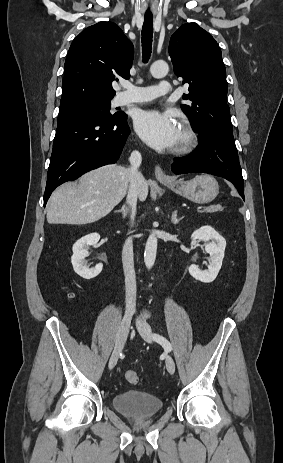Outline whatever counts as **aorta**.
<instances>
[{
	"instance_id": "obj_1",
	"label": "aorta",
	"mask_w": 283,
	"mask_h": 463,
	"mask_svg": "<svg viewBox=\"0 0 283 463\" xmlns=\"http://www.w3.org/2000/svg\"><path fill=\"white\" fill-rule=\"evenodd\" d=\"M168 71V64L164 61H156L150 67L151 75L154 78H163L167 75ZM156 252L157 237L155 236V234H151L147 239L144 253V262L148 270H150L155 263Z\"/></svg>"
}]
</instances>
